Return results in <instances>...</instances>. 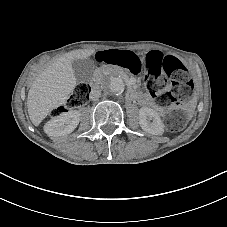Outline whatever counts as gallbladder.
I'll list each match as a JSON object with an SVG mask.
<instances>
[{"label":"gallbladder","instance_id":"1","mask_svg":"<svg viewBox=\"0 0 227 227\" xmlns=\"http://www.w3.org/2000/svg\"><path fill=\"white\" fill-rule=\"evenodd\" d=\"M73 72L78 83H87L95 69V62L90 58H76L71 61Z\"/></svg>","mask_w":227,"mask_h":227}]
</instances>
